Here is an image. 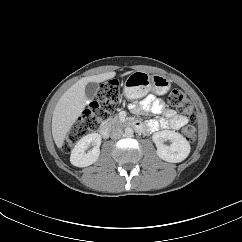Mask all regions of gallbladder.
I'll list each match as a JSON object with an SVG mask.
<instances>
[{"mask_svg": "<svg viewBox=\"0 0 242 242\" xmlns=\"http://www.w3.org/2000/svg\"><path fill=\"white\" fill-rule=\"evenodd\" d=\"M98 89H99V87L96 83L90 82L85 87L86 95L89 98H93L96 95V93L98 92Z\"/></svg>", "mask_w": 242, "mask_h": 242, "instance_id": "obj_1", "label": "gallbladder"}]
</instances>
